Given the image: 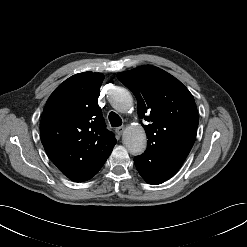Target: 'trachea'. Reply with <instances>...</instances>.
<instances>
[{"label": "trachea", "instance_id": "1", "mask_svg": "<svg viewBox=\"0 0 247 247\" xmlns=\"http://www.w3.org/2000/svg\"><path fill=\"white\" fill-rule=\"evenodd\" d=\"M109 121L112 127H118L122 125V120L118 114L115 112L109 113Z\"/></svg>", "mask_w": 247, "mask_h": 247}]
</instances>
